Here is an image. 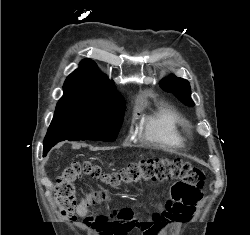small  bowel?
<instances>
[{
  "instance_id": "small-bowel-1",
  "label": "small bowel",
  "mask_w": 250,
  "mask_h": 235,
  "mask_svg": "<svg viewBox=\"0 0 250 235\" xmlns=\"http://www.w3.org/2000/svg\"><path fill=\"white\" fill-rule=\"evenodd\" d=\"M195 212L196 206H187L182 202L170 200L166 203L164 209L154 217V222H159V230H161L173 223L187 222ZM77 213L79 216H85L87 213L86 207L79 205Z\"/></svg>"
}]
</instances>
